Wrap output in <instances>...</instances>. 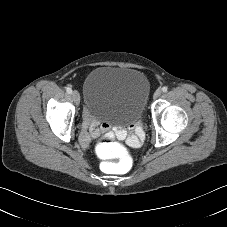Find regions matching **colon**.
Segmentation results:
<instances>
[{
    "label": "colon",
    "instance_id": "5ec220e1",
    "mask_svg": "<svg viewBox=\"0 0 227 227\" xmlns=\"http://www.w3.org/2000/svg\"><path fill=\"white\" fill-rule=\"evenodd\" d=\"M96 149L102 159L118 165L120 174H125L130 168L126 148L109 137H103L96 144Z\"/></svg>",
    "mask_w": 227,
    "mask_h": 227
}]
</instances>
